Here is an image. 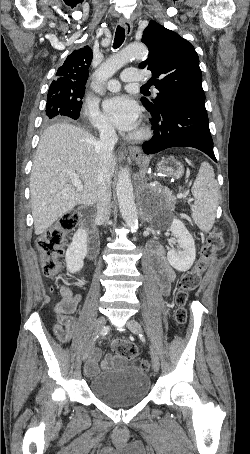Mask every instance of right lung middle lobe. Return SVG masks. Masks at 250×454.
<instances>
[{
	"instance_id": "obj_1",
	"label": "right lung middle lobe",
	"mask_w": 250,
	"mask_h": 454,
	"mask_svg": "<svg viewBox=\"0 0 250 454\" xmlns=\"http://www.w3.org/2000/svg\"><path fill=\"white\" fill-rule=\"evenodd\" d=\"M84 90L73 94H60L56 91H48L45 122H50L65 116L78 119L82 107Z\"/></svg>"
}]
</instances>
